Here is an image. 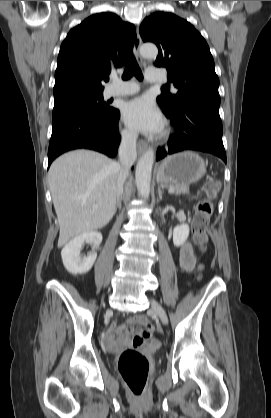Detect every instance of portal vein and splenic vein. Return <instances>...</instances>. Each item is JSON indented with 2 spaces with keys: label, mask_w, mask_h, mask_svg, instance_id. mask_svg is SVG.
Returning a JSON list of instances; mask_svg holds the SVG:
<instances>
[{
  "label": "portal vein and splenic vein",
  "mask_w": 271,
  "mask_h": 418,
  "mask_svg": "<svg viewBox=\"0 0 271 418\" xmlns=\"http://www.w3.org/2000/svg\"><path fill=\"white\" fill-rule=\"evenodd\" d=\"M174 191L175 190L173 188H169V190H168L169 193H173ZM94 207H97V206H94Z\"/></svg>",
  "instance_id": "18ae733b"
}]
</instances>
